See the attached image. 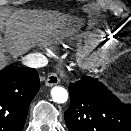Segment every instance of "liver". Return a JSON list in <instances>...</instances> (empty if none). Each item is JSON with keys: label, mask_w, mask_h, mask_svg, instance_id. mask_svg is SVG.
Returning <instances> with one entry per match:
<instances>
[{"label": "liver", "mask_w": 131, "mask_h": 131, "mask_svg": "<svg viewBox=\"0 0 131 131\" xmlns=\"http://www.w3.org/2000/svg\"><path fill=\"white\" fill-rule=\"evenodd\" d=\"M65 20L66 18L59 14L17 9L0 16V30L6 36V40L13 43V53L19 55L27 51L33 42L63 29ZM4 63L5 57L0 49V68Z\"/></svg>", "instance_id": "1"}]
</instances>
